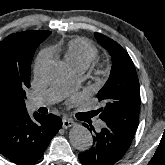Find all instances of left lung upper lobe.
I'll list each match as a JSON object with an SVG mask.
<instances>
[{"instance_id": "obj_1", "label": "left lung upper lobe", "mask_w": 165, "mask_h": 165, "mask_svg": "<svg viewBox=\"0 0 165 165\" xmlns=\"http://www.w3.org/2000/svg\"><path fill=\"white\" fill-rule=\"evenodd\" d=\"M95 37L112 58L110 77L97 94L104 107L97 113L105 123L135 134L139 122L140 91L134 63L118 43L100 33H95Z\"/></svg>"}]
</instances>
